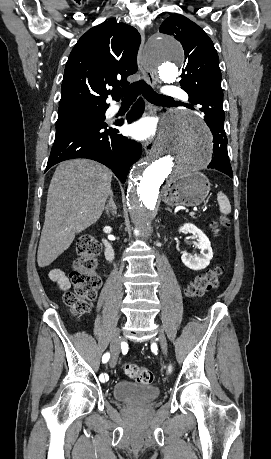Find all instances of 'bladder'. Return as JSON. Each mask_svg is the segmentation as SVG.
<instances>
[{
	"instance_id": "bladder-1",
	"label": "bladder",
	"mask_w": 271,
	"mask_h": 459,
	"mask_svg": "<svg viewBox=\"0 0 271 459\" xmlns=\"http://www.w3.org/2000/svg\"><path fill=\"white\" fill-rule=\"evenodd\" d=\"M160 395V388L154 385L134 383L131 381L117 382L113 387V396L117 400L131 402L134 400L151 401Z\"/></svg>"
}]
</instances>
